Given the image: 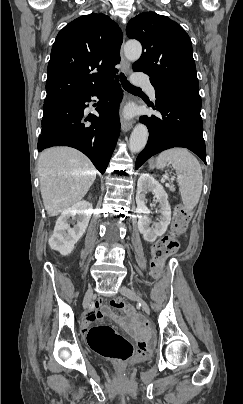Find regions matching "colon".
Segmentation results:
<instances>
[{
  "label": "colon",
  "mask_w": 243,
  "mask_h": 404,
  "mask_svg": "<svg viewBox=\"0 0 243 404\" xmlns=\"http://www.w3.org/2000/svg\"><path fill=\"white\" fill-rule=\"evenodd\" d=\"M189 219V210L183 206L177 207L171 232L158 240L152 249L151 268L154 277H160L167 258L178 250ZM111 306L127 314H133V309L121 299L112 300ZM87 340L91 348L105 358L125 362L133 354L132 344L109 325H98L89 329ZM152 347V340L141 341L138 351L141 355H148Z\"/></svg>",
  "instance_id": "colon-1"
}]
</instances>
